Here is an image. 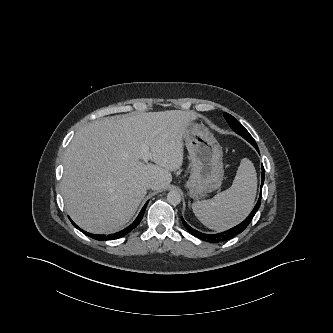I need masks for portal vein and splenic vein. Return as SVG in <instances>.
Masks as SVG:
<instances>
[{
  "label": "portal vein and splenic vein",
  "instance_id": "obj_1",
  "mask_svg": "<svg viewBox=\"0 0 333 333\" xmlns=\"http://www.w3.org/2000/svg\"><path fill=\"white\" fill-rule=\"evenodd\" d=\"M151 158V153L149 152L148 147H143L142 149V159L148 161Z\"/></svg>",
  "mask_w": 333,
  "mask_h": 333
}]
</instances>
